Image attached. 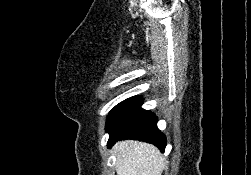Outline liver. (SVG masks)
<instances>
[{
  "label": "liver",
  "mask_w": 251,
  "mask_h": 175,
  "mask_svg": "<svg viewBox=\"0 0 251 175\" xmlns=\"http://www.w3.org/2000/svg\"><path fill=\"white\" fill-rule=\"evenodd\" d=\"M113 149L117 175H161L164 169V157L152 143L126 139L117 141Z\"/></svg>",
  "instance_id": "liver-1"
}]
</instances>
